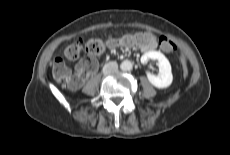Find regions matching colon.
<instances>
[{"label": "colon", "instance_id": "obj_1", "mask_svg": "<svg viewBox=\"0 0 230 155\" xmlns=\"http://www.w3.org/2000/svg\"><path fill=\"white\" fill-rule=\"evenodd\" d=\"M149 40V37H147L145 34L135 33L124 36L121 40V43L124 46H133L146 44L149 42ZM158 44L165 52L172 55L176 54L177 47L168 37H159ZM107 45L108 44L100 39H91L87 41L84 46L80 41L70 44L64 52L67 59H78L83 47L87 53L86 57L79 64V75L72 76L70 69L67 67L64 61L60 57H56L51 66L53 77L56 80L61 81L70 89L78 87L81 84L82 77L92 73L97 68L96 57L105 51Z\"/></svg>", "mask_w": 230, "mask_h": 155}]
</instances>
